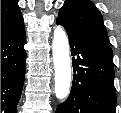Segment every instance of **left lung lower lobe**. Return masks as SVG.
<instances>
[{
	"mask_svg": "<svg viewBox=\"0 0 121 113\" xmlns=\"http://www.w3.org/2000/svg\"><path fill=\"white\" fill-rule=\"evenodd\" d=\"M69 36L73 84L56 113H116L113 58L57 18Z\"/></svg>",
	"mask_w": 121,
	"mask_h": 113,
	"instance_id": "left-lung-lower-lobe-1",
	"label": "left lung lower lobe"
}]
</instances>
